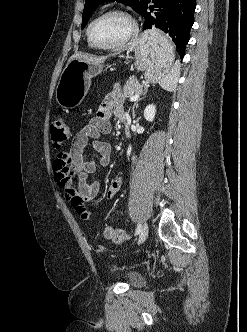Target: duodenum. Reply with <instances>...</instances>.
Listing matches in <instances>:
<instances>
[{
	"mask_svg": "<svg viewBox=\"0 0 247 332\" xmlns=\"http://www.w3.org/2000/svg\"><path fill=\"white\" fill-rule=\"evenodd\" d=\"M121 121L124 122V121H125V118H122ZM126 136L128 137V132H127V130H126Z\"/></svg>",
	"mask_w": 247,
	"mask_h": 332,
	"instance_id": "obj_1",
	"label": "duodenum"
}]
</instances>
